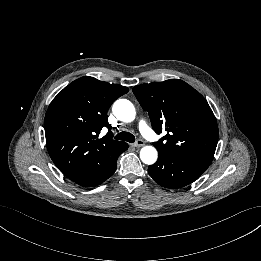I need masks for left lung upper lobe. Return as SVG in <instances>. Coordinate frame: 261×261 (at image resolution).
<instances>
[{"label":"left lung upper lobe","mask_w":261,"mask_h":261,"mask_svg":"<svg viewBox=\"0 0 261 261\" xmlns=\"http://www.w3.org/2000/svg\"><path fill=\"white\" fill-rule=\"evenodd\" d=\"M133 93L148 111L154 131L166 133L153 143L159 153L211 164L218 126L210 106L198 91L182 80L169 79L135 86Z\"/></svg>","instance_id":"5c2ea615"}]
</instances>
